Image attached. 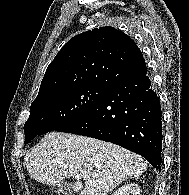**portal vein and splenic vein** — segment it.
<instances>
[{"label":"portal vein and splenic vein","mask_w":189,"mask_h":195,"mask_svg":"<svg viewBox=\"0 0 189 195\" xmlns=\"http://www.w3.org/2000/svg\"><path fill=\"white\" fill-rule=\"evenodd\" d=\"M75 179L76 180H80L81 179V175H79V174L75 175ZM90 183H92V181H87L86 182V184H90Z\"/></svg>","instance_id":"portal-vein-and-splenic-vein-1"}]
</instances>
